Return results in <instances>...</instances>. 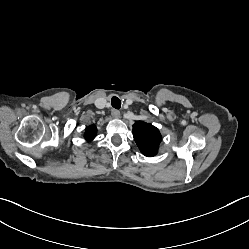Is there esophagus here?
<instances>
[{
	"mask_svg": "<svg viewBox=\"0 0 249 249\" xmlns=\"http://www.w3.org/2000/svg\"><path fill=\"white\" fill-rule=\"evenodd\" d=\"M111 114H112V116H113L114 118H119V117H120V111L117 110V109H113V110L111 111Z\"/></svg>",
	"mask_w": 249,
	"mask_h": 249,
	"instance_id": "esophagus-1",
	"label": "esophagus"
}]
</instances>
